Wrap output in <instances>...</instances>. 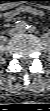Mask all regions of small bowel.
Here are the masks:
<instances>
[{
    "label": "small bowel",
    "mask_w": 50,
    "mask_h": 111,
    "mask_svg": "<svg viewBox=\"0 0 50 111\" xmlns=\"http://www.w3.org/2000/svg\"><path fill=\"white\" fill-rule=\"evenodd\" d=\"M25 13L32 15H42L43 11L29 6H20L12 11L4 12L2 17L4 18V20L9 21L15 16Z\"/></svg>",
    "instance_id": "c3829d8e"
}]
</instances>
